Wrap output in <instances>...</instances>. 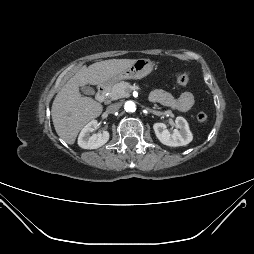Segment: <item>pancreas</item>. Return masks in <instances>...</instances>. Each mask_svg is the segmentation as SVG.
Masks as SVG:
<instances>
[{
  "mask_svg": "<svg viewBox=\"0 0 254 254\" xmlns=\"http://www.w3.org/2000/svg\"><path fill=\"white\" fill-rule=\"evenodd\" d=\"M133 88L134 87L130 83L121 81L113 85L108 97L111 100L129 97L130 92L133 90Z\"/></svg>",
  "mask_w": 254,
  "mask_h": 254,
  "instance_id": "obj_1",
  "label": "pancreas"
}]
</instances>
